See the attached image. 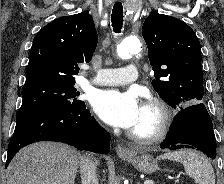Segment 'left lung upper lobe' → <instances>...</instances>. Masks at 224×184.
<instances>
[{"label":"left lung upper lobe","instance_id":"obj_1","mask_svg":"<svg viewBox=\"0 0 224 184\" xmlns=\"http://www.w3.org/2000/svg\"><path fill=\"white\" fill-rule=\"evenodd\" d=\"M153 66L152 86L173 108L201 103L204 94L200 42L183 21L157 12L142 27Z\"/></svg>","mask_w":224,"mask_h":184}]
</instances>
